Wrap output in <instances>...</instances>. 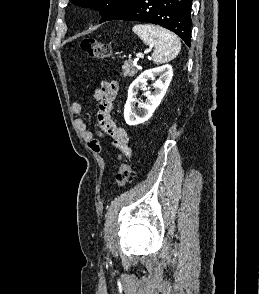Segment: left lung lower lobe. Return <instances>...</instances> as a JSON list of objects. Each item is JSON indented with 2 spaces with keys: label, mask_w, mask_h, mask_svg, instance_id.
<instances>
[{
  "label": "left lung lower lobe",
  "mask_w": 259,
  "mask_h": 294,
  "mask_svg": "<svg viewBox=\"0 0 259 294\" xmlns=\"http://www.w3.org/2000/svg\"><path fill=\"white\" fill-rule=\"evenodd\" d=\"M191 5L192 0H131L105 21L133 20L158 24L176 33L190 46Z\"/></svg>",
  "instance_id": "obj_1"
}]
</instances>
